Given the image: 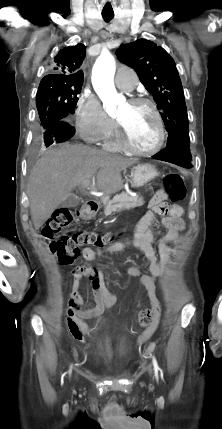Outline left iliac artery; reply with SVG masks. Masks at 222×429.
<instances>
[{"instance_id": "1", "label": "left iliac artery", "mask_w": 222, "mask_h": 429, "mask_svg": "<svg viewBox=\"0 0 222 429\" xmlns=\"http://www.w3.org/2000/svg\"><path fill=\"white\" fill-rule=\"evenodd\" d=\"M152 361H153V366H154L155 375H156V377H157V375H158V370H159V366H158L157 360H156V358H155L154 356L152 357Z\"/></svg>"}]
</instances>
